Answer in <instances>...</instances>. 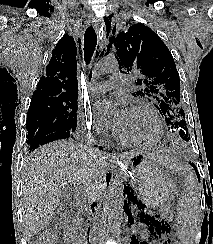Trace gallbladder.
<instances>
[{"label":"gallbladder","instance_id":"bac80fb5","mask_svg":"<svg viewBox=\"0 0 213 244\" xmlns=\"http://www.w3.org/2000/svg\"><path fill=\"white\" fill-rule=\"evenodd\" d=\"M70 222V213L65 207H60L52 217L50 227L54 230H60L66 227Z\"/></svg>","mask_w":213,"mask_h":244}]
</instances>
